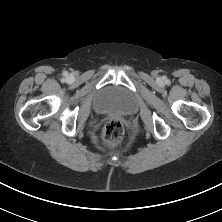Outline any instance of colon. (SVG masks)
Wrapping results in <instances>:
<instances>
[{
	"label": "colon",
	"instance_id": "1",
	"mask_svg": "<svg viewBox=\"0 0 222 222\" xmlns=\"http://www.w3.org/2000/svg\"><path fill=\"white\" fill-rule=\"evenodd\" d=\"M124 125L119 119H111L107 121L103 129V141L109 146L120 143L124 137Z\"/></svg>",
	"mask_w": 222,
	"mask_h": 222
}]
</instances>
